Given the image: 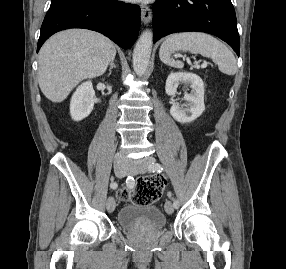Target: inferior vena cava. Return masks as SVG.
Masks as SVG:
<instances>
[{"mask_svg":"<svg viewBox=\"0 0 286 269\" xmlns=\"http://www.w3.org/2000/svg\"><path fill=\"white\" fill-rule=\"evenodd\" d=\"M116 158L119 159V160H125V156H124V154H122V153H118V154L116 155Z\"/></svg>","mask_w":286,"mask_h":269,"instance_id":"602c4592","label":"inferior vena cava"}]
</instances>
